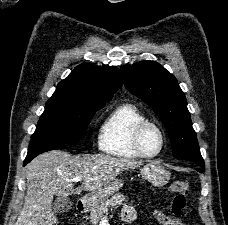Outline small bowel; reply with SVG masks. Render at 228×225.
<instances>
[{"mask_svg":"<svg viewBox=\"0 0 228 225\" xmlns=\"http://www.w3.org/2000/svg\"><path fill=\"white\" fill-rule=\"evenodd\" d=\"M122 217L126 222H132L136 218V211L132 207L126 206L122 211ZM153 217L161 225H183L180 219L174 218L162 211H154Z\"/></svg>","mask_w":228,"mask_h":225,"instance_id":"c3829d8e","label":"small bowel"}]
</instances>
